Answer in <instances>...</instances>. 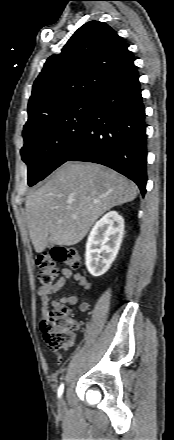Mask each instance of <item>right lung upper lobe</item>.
Instances as JSON below:
<instances>
[{"label":"right lung upper lobe","instance_id":"obj_1","mask_svg":"<svg viewBox=\"0 0 174 440\" xmlns=\"http://www.w3.org/2000/svg\"><path fill=\"white\" fill-rule=\"evenodd\" d=\"M127 46L104 22L81 26L58 55L50 56L33 84L24 129L92 95L104 82L133 64Z\"/></svg>","mask_w":174,"mask_h":440}]
</instances>
